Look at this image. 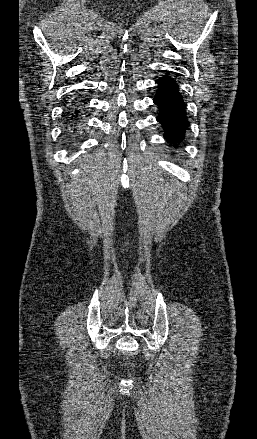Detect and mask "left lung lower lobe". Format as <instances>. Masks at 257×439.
Segmentation results:
<instances>
[{"label": "left lung lower lobe", "mask_w": 257, "mask_h": 439, "mask_svg": "<svg viewBox=\"0 0 257 439\" xmlns=\"http://www.w3.org/2000/svg\"><path fill=\"white\" fill-rule=\"evenodd\" d=\"M156 82L158 89L153 102L160 110L157 121L163 127L166 141L176 148L183 142L190 126L186 105L173 78L165 74Z\"/></svg>", "instance_id": "left-lung-lower-lobe-1"}]
</instances>
